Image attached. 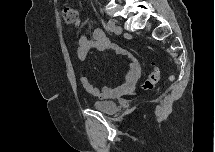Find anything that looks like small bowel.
<instances>
[{
	"mask_svg": "<svg viewBox=\"0 0 215 152\" xmlns=\"http://www.w3.org/2000/svg\"><path fill=\"white\" fill-rule=\"evenodd\" d=\"M93 48L98 51L112 50L117 55L126 58L128 70L124 80L116 87H103L98 89L90 83L87 77H81L80 83L82 88L92 96L104 99L118 98L132 94L140 75V66L134 55L121 46L112 43L102 29H95L91 39L86 36H82L79 39L77 57L80 60H85L89 51Z\"/></svg>",
	"mask_w": 215,
	"mask_h": 152,
	"instance_id": "c3829d8e",
	"label": "small bowel"
}]
</instances>
